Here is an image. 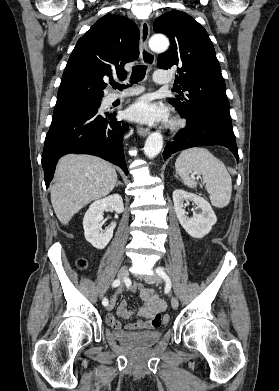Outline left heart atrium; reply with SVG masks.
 <instances>
[{
	"instance_id": "left-heart-atrium-1",
	"label": "left heart atrium",
	"mask_w": 279,
	"mask_h": 391,
	"mask_svg": "<svg viewBox=\"0 0 279 391\" xmlns=\"http://www.w3.org/2000/svg\"><path fill=\"white\" fill-rule=\"evenodd\" d=\"M127 115L130 119L145 124L165 122L168 118L166 107L153 103L149 96L141 97L135 101L128 108Z\"/></svg>"
}]
</instances>
